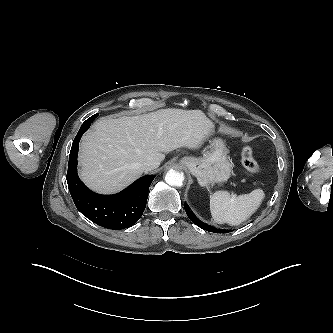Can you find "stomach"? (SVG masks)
I'll return each mask as SVG.
<instances>
[{"mask_svg": "<svg viewBox=\"0 0 333 333\" xmlns=\"http://www.w3.org/2000/svg\"><path fill=\"white\" fill-rule=\"evenodd\" d=\"M179 163L188 169L203 187L227 181L232 172L228 149L221 139H214L210 151L203 157L186 156Z\"/></svg>", "mask_w": 333, "mask_h": 333, "instance_id": "obj_1", "label": "stomach"}]
</instances>
